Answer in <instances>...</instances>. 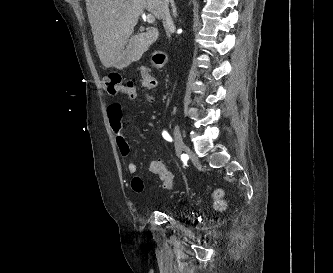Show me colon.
I'll use <instances>...</instances> for the list:
<instances>
[{
    "instance_id": "colon-1",
    "label": "colon",
    "mask_w": 333,
    "mask_h": 273,
    "mask_svg": "<svg viewBox=\"0 0 333 273\" xmlns=\"http://www.w3.org/2000/svg\"><path fill=\"white\" fill-rule=\"evenodd\" d=\"M151 63L155 69H162L166 63V55L162 51H154L151 55ZM104 89L110 95L126 94L130 97L135 96V86L133 81L124 80L118 73H111L102 81ZM149 172L154 175L159 183V186L168 190L173 185V174L161 160H152L148 165ZM215 205L217 208H224L222 193H215Z\"/></svg>"
}]
</instances>
